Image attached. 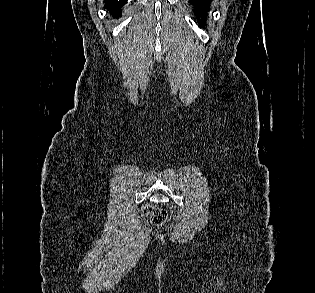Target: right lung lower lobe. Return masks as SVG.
<instances>
[{
    "mask_svg": "<svg viewBox=\"0 0 315 293\" xmlns=\"http://www.w3.org/2000/svg\"><path fill=\"white\" fill-rule=\"evenodd\" d=\"M105 2V8L112 12L113 16L118 17L122 15V11H120L119 8L121 5H124L127 0H105Z\"/></svg>",
    "mask_w": 315,
    "mask_h": 293,
    "instance_id": "98d812e1",
    "label": "right lung lower lobe"
}]
</instances>
